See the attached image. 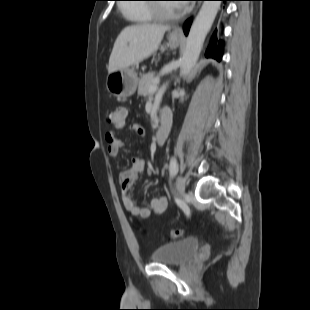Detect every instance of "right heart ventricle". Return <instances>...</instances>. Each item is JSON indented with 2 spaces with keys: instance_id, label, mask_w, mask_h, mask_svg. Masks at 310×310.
<instances>
[{
  "instance_id": "1",
  "label": "right heart ventricle",
  "mask_w": 310,
  "mask_h": 310,
  "mask_svg": "<svg viewBox=\"0 0 310 310\" xmlns=\"http://www.w3.org/2000/svg\"><path fill=\"white\" fill-rule=\"evenodd\" d=\"M123 13L138 24L152 22L155 17L150 6H125Z\"/></svg>"
}]
</instances>
